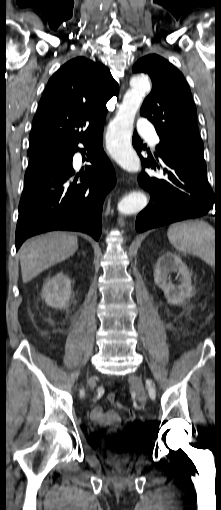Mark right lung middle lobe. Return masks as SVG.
Here are the masks:
<instances>
[{
    "label": "right lung middle lobe",
    "instance_id": "dd1d6c3e",
    "mask_svg": "<svg viewBox=\"0 0 221 510\" xmlns=\"http://www.w3.org/2000/svg\"><path fill=\"white\" fill-rule=\"evenodd\" d=\"M67 149L47 148L28 152L29 167L62 159Z\"/></svg>",
    "mask_w": 221,
    "mask_h": 510
}]
</instances>
